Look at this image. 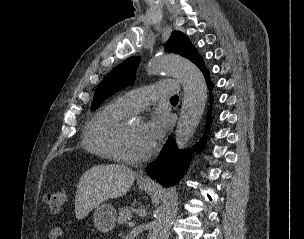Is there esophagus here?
I'll list each match as a JSON object with an SVG mask.
<instances>
[{
  "mask_svg": "<svg viewBox=\"0 0 304 239\" xmlns=\"http://www.w3.org/2000/svg\"><path fill=\"white\" fill-rule=\"evenodd\" d=\"M139 181H140L141 183H144V184H152V183H153V181H152L148 176H146V175L141 176V177L139 178Z\"/></svg>",
  "mask_w": 304,
  "mask_h": 239,
  "instance_id": "1",
  "label": "esophagus"
}]
</instances>
